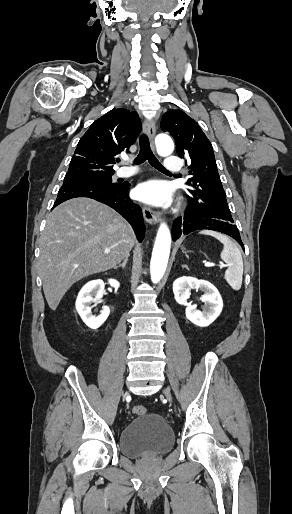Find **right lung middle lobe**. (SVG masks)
Instances as JSON below:
<instances>
[{
	"mask_svg": "<svg viewBox=\"0 0 292 514\" xmlns=\"http://www.w3.org/2000/svg\"><path fill=\"white\" fill-rule=\"evenodd\" d=\"M114 172H67L64 182H89L106 186H117L112 183Z\"/></svg>",
	"mask_w": 292,
	"mask_h": 514,
	"instance_id": "1",
	"label": "right lung middle lobe"
}]
</instances>
